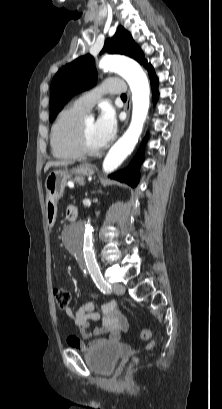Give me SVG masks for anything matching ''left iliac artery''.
<instances>
[{"instance_id": "obj_1", "label": "left iliac artery", "mask_w": 222, "mask_h": 409, "mask_svg": "<svg viewBox=\"0 0 222 409\" xmlns=\"http://www.w3.org/2000/svg\"><path fill=\"white\" fill-rule=\"evenodd\" d=\"M90 274L96 286L100 289L101 292H103L104 294L111 293V286L104 280L99 267L91 269Z\"/></svg>"}]
</instances>
